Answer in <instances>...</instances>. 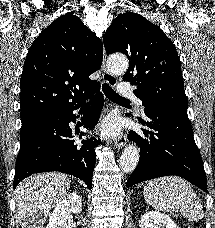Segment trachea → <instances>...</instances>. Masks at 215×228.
Instances as JSON below:
<instances>
[{
  "instance_id": "trachea-1",
  "label": "trachea",
  "mask_w": 215,
  "mask_h": 228,
  "mask_svg": "<svg viewBox=\"0 0 215 228\" xmlns=\"http://www.w3.org/2000/svg\"><path fill=\"white\" fill-rule=\"evenodd\" d=\"M102 90L106 97L110 100L130 105V100H127V98H123L118 93L114 92V90H112V88L107 83H103Z\"/></svg>"
}]
</instances>
